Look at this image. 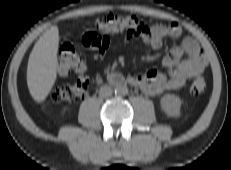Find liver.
<instances>
[{"mask_svg":"<svg viewBox=\"0 0 231 170\" xmlns=\"http://www.w3.org/2000/svg\"><path fill=\"white\" fill-rule=\"evenodd\" d=\"M59 30L51 26L35 43L27 66V85L32 98L43 102L57 77Z\"/></svg>","mask_w":231,"mask_h":170,"instance_id":"6515ba94","label":"liver"}]
</instances>
